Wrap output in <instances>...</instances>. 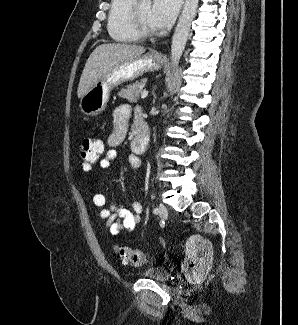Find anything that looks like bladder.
Listing matches in <instances>:
<instances>
[{
  "label": "bladder",
  "instance_id": "obj_1",
  "mask_svg": "<svg viewBox=\"0 0 298 325\" xmlns=\"http://www.w3.org/2000/svg\"><path fill=\"white\" fill-rule=\"evenodd\" d=\"M142 275L156 282L165 283L170 280V273L162 267H151L145 270Z\"/></svg>",
  "mask_w": 298,
  "mask_h": 325
}]
</instances>
